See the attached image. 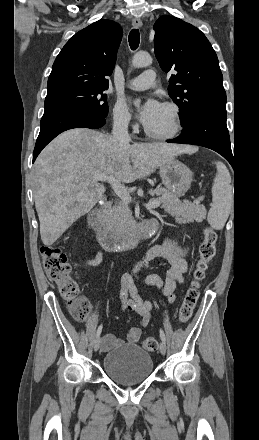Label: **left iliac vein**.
I'll return each instance as SVG.
<instances>
[{"label":"left iliac vein","instance_id":"obj_1","mask_svg":"<svg viewBox=\"0 0 259 440\" xmlns=\"http://www.w3.org/2000/svg\"><path fill=\"white\" fill-rule=\"evenodd\" d=\"M159 350H160V353L162 354V355H165V353H166V344H165V342H161L160 343V345H159Z\"/></svg>","mask_w":259,"mask_h":440}]
</instances>
